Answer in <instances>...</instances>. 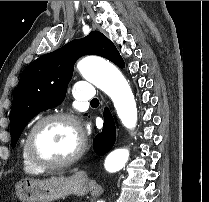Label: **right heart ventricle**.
Wrapping results in <instances>:
<instances>
[{"mask_svg": "<svg viewBox=\"0 0 209 202\" xmlns=\"http://www.w3.org/2000/svg\"><path fill=\"white\" fill-rule=\"evenodd\" d=\"M26 134L24 135V138H23V142H22V145H21V161H22V167L24 169L25 172L27 173H32V174H37L39 172H41L40 169L36 168L34 165H32L26 154H25V150H24V146H25V140H26Z\"/></svg>", "mask_w": 209, "mask_h": 202, "instance_id": "1", "label": "right heart ventricle"}]
</instances>
